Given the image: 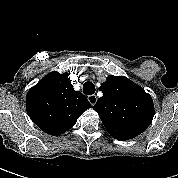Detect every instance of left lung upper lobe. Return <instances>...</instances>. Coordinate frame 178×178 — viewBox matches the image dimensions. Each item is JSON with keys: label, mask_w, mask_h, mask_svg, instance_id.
Here are the masks:
<instances>
[{"label": "left lung upper lobe", "mask_w": 178, "mask_h": 178, "mask_svg": "<svg viewBox=\"0 0 178 178\" xmlns=\"http://www.w3.org/2000/svg\"><path fill=\"white\" fill-rule=\"evenodd\" d=\"M99 90L103 96L93 109L112 137L128 140L150 125L154 116L153 101L140 86L126 77L110 75Z\"/></svg>", "instance_id": "5c2ea615"}]
</instances>
